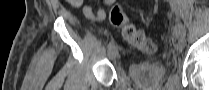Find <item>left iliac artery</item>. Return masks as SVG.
<instances>
[{
  "label": "left iliac artery",
  "mask_w": 209,
  "mask_h": 90,
  "mask_svg": "<svg viewBox=\"0 0 209 90\" xmlns=\"http://www.w3.org/2000/svg\"><path fill=\"white\" fill-rule=\"evenodd\" d=\"M169 3L171 5L172 13L174 14L177 19H182L181 14V6L179 4L178 0H169Z\"/></svg>",
  "instance_id": "obj_1"
}]
</instances>
